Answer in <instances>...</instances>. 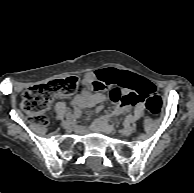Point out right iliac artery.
<instances>
[{
  "mask_svg": "<svg viewBox=\"0 0 194 193\" xmlns=\"http://www.w3.org/2000/svg\"><path fill=\"white\" fill-rule=\"evenodd\" d=\"M75 118H76V116H74L73 114H71V113H68V114H67V119H68V120L74 121Z\"/></svg>",
  "mask_w": 194,
  "mask_h": 193,
  "instance_id": "right-iliac-artery-1",
  "label": "right iliac artery"
}]
</instances>
